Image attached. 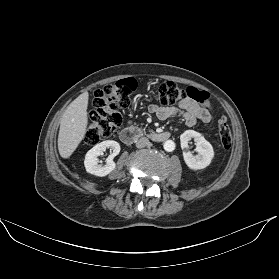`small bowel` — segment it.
Wrapping results in <instances>:
<instances>
[{"label": "small bowel", "instance_id": "1", "mask_svg": "<svg viewBox=\"0 0 279 279\" xmlns=\"http://www.w3.org/2000/svg\"><path fill=\"white\" fill-rule=\"evenodd\" d=\"M148 110L155 113L161 120L180 116L188 126H194L198 120L208 124L212 119L210 111L191 98H185L177 106L164 107L151 105Z\"/></svg>", "mask_w": 279, "mask_h": 279}]
</instances>
